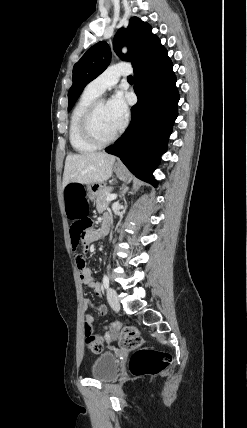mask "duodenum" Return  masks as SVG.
Returning <instances> with one entry per match:
<instances>
[{"instance_id":"duodenum-1","label":"duodenum","mask_w":247,"mask_h":428,"mask_svg":"<svg viewBox=\"0 0 247 428\" xmlns=\"http://www.w3.org/2000/svg\"><path fill=\"white\" fill-rule=\"evenodd\" d=\"M109 226H110V219L107 217V218L103 219V221H102V225H101V229H100L102 235H105L108 232Z\"/></svg>"}]
</instances>
